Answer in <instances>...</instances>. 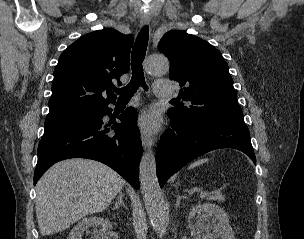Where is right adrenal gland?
<instances>
[{
  "label": "right adrenal gland",
  "instance_id": "obj_1",
  "mask_svg": "<svg viewBox=\"0 0 304 239\" xmlns=\"http://www.w3.org/2000/svg\"><path fill=\"white\" fill-rule=\"evenodd\" d=\"M120 206H123L125 209H127V207L125 206L124 201H123L122 192H119V194H118L117 201L115 202V205H114V209H117Z\"/></svg>",
  "mask_w": 304,
  "mask_h": 239
}]
</instances>
